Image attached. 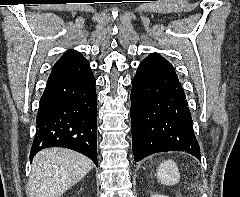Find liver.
<instances>
[{"instance_id":"6515ba94","label":"liver","mask_w":240,"mask_h":197,"mask_svg":"<svg viewBox=\"0 0 240 197\" xmlns=\"http://www.w3.org/2000/svg\"><path fill=\"white\" fill-rule=\"evenodd\" d=\"M86 156L65 148H47L33 158L28 192L30 197H60L91 169Z\"/></svg>"}]
</instances>
